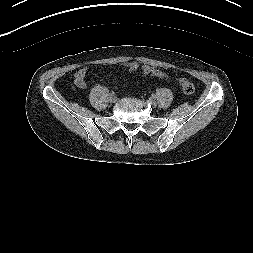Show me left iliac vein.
<instances>
[{
    "label": "left iliac vein",
    "mask_w": 253,
    "mask_h": 253,
    "mask_svg": "<svg viewBox=\"0 0 253 253\" xmlns=\"http://www.w3.org/2000/svg\"><path fill=\"white\" fill-rule=\"evenodd\" d=\"M149 102L151 103V105L153 107H155L157 105L156 101L155 100H152L151 98L149 99Z\"/></svg>",
    "instance_id": "1"
}]
</instances>
